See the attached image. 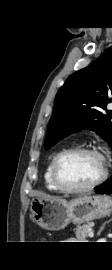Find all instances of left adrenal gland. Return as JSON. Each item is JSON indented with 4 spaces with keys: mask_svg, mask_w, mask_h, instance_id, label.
<instances>
[{
    "mask_svg": "<svg viewBox=\"0 0 112 270\" xmlns=\"http://www.w3.org/2000/svg\"><path fill=\"white\" fill-rule=\"evenodd\" d=\"M110 221H112V218H111L109 221L105 222V223L102 225V227H101L100 230H99V234L103 231V229L105 228V225H106L107 223H109Z\"/></svg>",
    "mask_w": 112,
    "mask_h": 270,
    "instance_id": "a2214340",
    "label": "left adrenal gland"
}]
</instances>
